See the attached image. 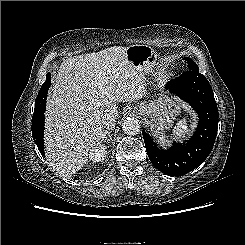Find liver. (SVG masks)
<instances>
[{
  "mask_svg": "<svg viewBox=\"0 0 245 245\" xmlns=\"http://www.w3.org/2000/svg\"><path fill=\"white\" fill-rule=\"evenodd\" d=\"M126 47L113 46L62 62L47 99L45 146L51 166L70 177L105 140L102 115L117 116L118 102L140 99L139 71L126 57Z\"/></svg>",
  "mask_w": 245,
  "mask_h": 245,
  "instance_id": "liver-1",
  "label": "liver"
}]
</instances>
